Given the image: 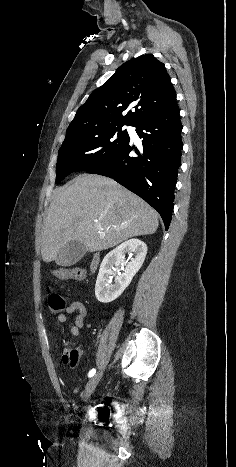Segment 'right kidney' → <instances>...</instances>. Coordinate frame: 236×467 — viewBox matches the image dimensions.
Segmentation results:
<instances>
[{"label":"right kidney","mask_w":236,"mask_h":467,"mask_svg":"<svg viewBox=\"0 0 236 467\" xmlns=\"http://www.w3.org/2000/svg\"><path fill=\"white\" fill-rule=\"evenodd\" d=\"M126 253L134 255L129 262L125 261ZM146 254L147 246L139 239H130L110 251L104 257L97 276L95 285L97 300L102 303H109L118 298L141 268ZM120 265L125 266L122 274L119 270ZM112 276H115L114 284H110Z\"/></svg>","instance_id":"1"}]
</instances>
